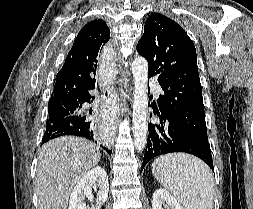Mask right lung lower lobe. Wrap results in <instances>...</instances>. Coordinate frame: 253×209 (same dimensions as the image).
Returning a JSON list of instances; mask_svg holds the SVG:
<instances>
[{"instance_id": "right-lung-lower-lobe-1", "label": "right lung lower lobe", "mask_w": 253, "mask_h": 209, "mask_svg": "<svg viewBox=\"0 0 253 209\" xmlns=\"http://www.w3.org/2000/svg\"><path fill=\"white\" fill-rule=\"evenodd\" d=\"M93 99L94 97L89 91L77 99L68 102H49L48 110L67 111L68 114L59 121L47 122L42 143H46L53 138L65 135L84 137L97 143L100 139V135L96 123L84 112L82 107L85 102L91 103ZM104 149L111 154V150L105 147Z\"/></svg>"}]
</instances>
